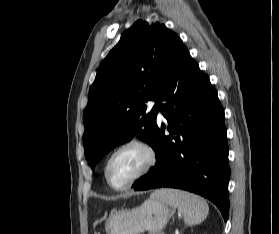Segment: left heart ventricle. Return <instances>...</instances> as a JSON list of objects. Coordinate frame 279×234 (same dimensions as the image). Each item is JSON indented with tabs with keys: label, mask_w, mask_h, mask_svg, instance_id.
Wrapping results in <instances>:
<instances>
[{
	"label": "left heart ventricle",
	"mask_w": 279,
	"mask_h": 234,
	"mask_svg": "<svg viewBox=\"0 0 279 234\" xmlns=\"http://www.w3.org/2000/svg\"><path fill=\"white\" fill-rule=\"evenodd\" d=\"M144 163L145 155L140 149L128 148L111 162L109 178L116 185L125 183L141 169Z\"/></svg>",
	"instance_id": "left-heart-ventricle-1"
}]
</instances>
